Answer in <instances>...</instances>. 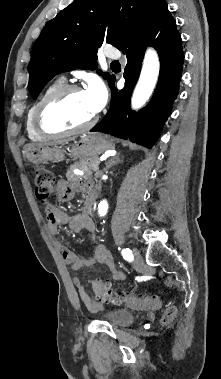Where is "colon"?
I'll return each instance as SVG.
<instances>
[{"label": "colon", "mask_w": 221, "mask_h": 379, "mask_svg": "<svg viewBox=\"0 0 221 379\" xmlns=\"http://www.w3.org/2000/svg\"><path fill=\"white\" fill-rule=\"evenodd\" d=\"M34 182L37 199L47 206L50 197L54 193L55 178L53 173L44 166H36L34 168ZM89 282L97 300L100 302L125 304L134 309H155L161 305L160 298L155 295H126L116 292L108 283L103 282L99 278L90 279ZM176 312L175 307H168L162 315L163 324L170 323L175 318Z\"/></svg>", "instance_id": "5ec220e1"}]
</instances>
